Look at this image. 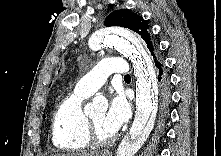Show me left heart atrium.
<instances>
[{
  "label": "left heart atrium",
  "mask_w": 221,
  "mask_h": 156,
  "mask_svg": "<svg viewBox=\"0 0 221 156\" xmlns=\"http://www.w3.org/2000/svg\"><path fill=\"white\" fill-rule=\"evenodd\" d=\"M130 114V106L125 95L121 92L114 94L104 119L106 129L115 134L128 121Z\"/></svg>",
  "instance_id": "39dd6f15"
}]
</instances>
